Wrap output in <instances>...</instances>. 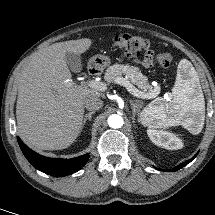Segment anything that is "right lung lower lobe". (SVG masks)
Segmentation results:
<instances>
[{
  "label": "right lung lower lobe",
  "instance_id": "obj_1",
  "mask_svg": "<svg viewBox=\"0 0 215 215\" xmlns=\"http://www.w3.org/2000/svg\"><path fill=\"white\" fill-rule=\"evenodd\" d=\"M17 140L27 160L36 169L51 176L63 177L70 175L82 168L89 159V154L72 159L44 157L27 147L19 137H17Z\"/></svg>",
  "mask_w": 215,
  "mask_h": 215
}]
</instances>
